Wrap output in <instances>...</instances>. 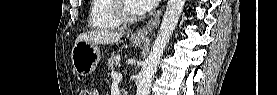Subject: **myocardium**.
I'll return each mask as SVG.
<instances>
[{"label":"myocardium","instance_id":"obj_1","mask_svg":"<svg viewBox=\"0 0 277 95\" xmlns=\"http://www.w3.org/2000/svg\"><path fill=\"white\" fill-rule=\"evenodd\" d=\"M127 1L134 0H114L112 5V11L116 18L123 23H133L142 19L146 15V11L142 10L136 15H129L125 12V4Z\"/></svg>","mask_w":277,"mask_h":95}]
</instances>
